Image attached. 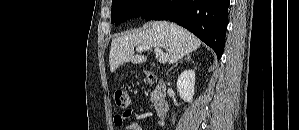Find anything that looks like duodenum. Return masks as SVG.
I'll use <instances>...</instances> for the list:
<instances>
[{"label": "duodenum", "mask_w": 299, "mask_h": 130, "mask_svg": "<svg viewBox=\"0 0 299 130\" xmlns=\"http://www.w3.org/2000/svg\"><path fill=\"white\" fill-rule=\"evenodd\" d=\"M145 73L149 78L155 80V88L152 92L154 107L158 117L160 119H163L166 117L169 111V102L167 99L166 85L162 80H159L157 78L156 74L150 71H146Z\"/></svg>", "instance_id": "duodenum-1"}]
</instances>
